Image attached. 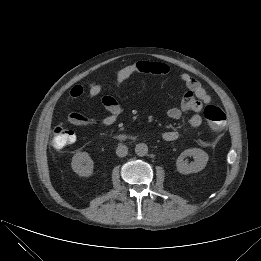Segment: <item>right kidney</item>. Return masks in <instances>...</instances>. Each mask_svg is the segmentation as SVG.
I'll use <instances>...</instances> for the list:
<instances>
[{
  "mask_svg": "<svg viewBox=\"0 0 261 261\" xmlns=\"http://www.w3.org/2000/svg\"><path fill=\"white\" fill-rule=\"evenodd\" d=\"M71 167L79 176L89 177L93 173L94 163L87 152H78L72 157Z\"/></svg>",
  "mask_w": 261,
  "mask_h": 261,
  "instance_id": "right-kidney-1",
  "label": "right kidney"
}]
</instances>
